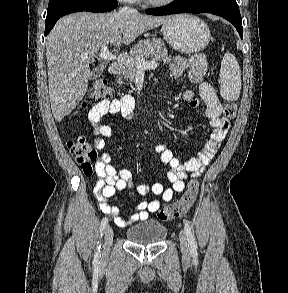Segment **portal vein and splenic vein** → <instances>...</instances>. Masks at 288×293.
I'll list each match as a JSON object with an SVG mask.
<instances>
[{
	"mask_svg": "<svg viewBox=\"0 0 288 293\" xmlns=\"http://www.w3.org/2000/svg\"><path fill=\"white\" fill-rule=\"evenodd\" d=\"M83 57H87V54H83ZM99 57L106 61L117 60V56L109 52L107 45H104L101 48ZM136 66L138 69H155L157 67V64L155 61H146L144 58L137 57Z\"/></svg>",
	"mask_w": 288,
	"mask_h": 293,
	"instance_id": "1",
	"label": "portal vein and splenic vein"
}]
</instances>
